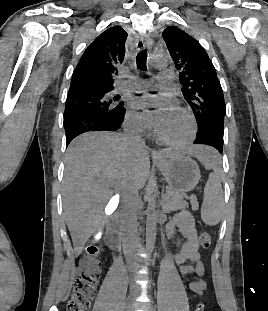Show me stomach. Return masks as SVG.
<instances>
[{"instance_id":"stomach-1","label":"stomach","mask_w":268,"mask_h":311,"mask_svg":"<svg viewBox=\"0 0 268 311\" xmlns=\"http://www.w3.org/2000/svg\"><path fill=\"white\" fill-rule=\"evenodd\" d=\"M156 164L169 189L181 194L193 190L201 177L197 163L184 154L178 153L170 158L157 159Z\"/></svg>"}]
</instances>
